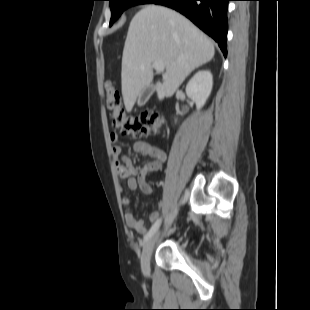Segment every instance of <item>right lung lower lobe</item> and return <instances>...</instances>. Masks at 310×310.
Here are the masks:
<instances>
[{"mask_svg": "<svg viewBox=\"0 0 310 310\" xmlns=\"http://www.w3.org/2000/svg\"><path fill=\"white\" fill-rule=\"evenodd\" d=\"M231 0H153L151 3L175 9L189 18L219 45L227 55V11Z\"/></svg>", "mask_w": 310, "mask_h": 310, "instance_id": "1", "label": "right lung lower lobe"}]
</instances>
